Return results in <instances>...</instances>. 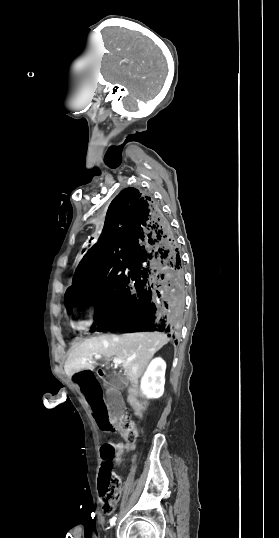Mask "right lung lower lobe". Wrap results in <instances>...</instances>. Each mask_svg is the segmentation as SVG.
<instances>
[{
    "instance_id": "obj_1",
    "label": "right lung lower lobe",
    "mask_w": 279,
    "mask_h": 538,
    "mask_svg": "<svg viewBox=\"0 0 279 538\" xmlns=\"http://www.w3.org/2000/svg\"><path fill=\"white\" fill-rule=\"evenodd\" d=\"M181 255L164 212L129 187L111 202L102 234L84 256L65 304L96 303L92 327L171 336L184 315Z\"/></svg>"
}]
</instances>
